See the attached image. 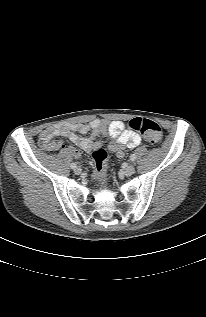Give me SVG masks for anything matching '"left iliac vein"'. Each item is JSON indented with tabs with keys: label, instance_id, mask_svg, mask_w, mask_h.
I'll return each instance as SVG.
<instances>
[{
	"label": "left iliac vein",
	"instance_id": "4c4485c4",
	"mask_svg": "<svg viewBox=\"0 0 206 317\" xmlns=\"http://www.w3.org/2000/svg\"><path fill=\"white\" fill-rule=\"evenodd\" d=\"M123 174L126 176H131L135 172V167L133 165H129L123 169Z\"/></svg>",
	"mask_w": 206,
	"mask_h": 317
}]
</instances>
